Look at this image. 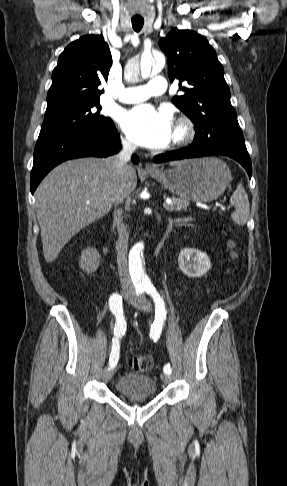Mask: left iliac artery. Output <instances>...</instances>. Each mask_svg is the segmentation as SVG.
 Returning <instances> with one entry per match:
<instances>
[{"instance_id":"44dca946","label":"left iliac artery","mask_w":287,"mask_h":486,"mask_svg":"<svg viewBox=\"0 0 287 486\" xmlns=\"http://www.w3.org/2000/svg\"><path fill=\"white\" fill-rule=\"evenodd\" d=\"M145 291L147 292V294H149L152 297L155 304V321L151 326L150 337L154 341H157L158 338L160 337L162 327L166 319L167 311L165 308L164 300L161 298V296L156 291L155 287H153V285L146 286ZM163 371L166 374H171L172 369L170 364H166L163 368Z\"/></svg>"}]
</instances>
